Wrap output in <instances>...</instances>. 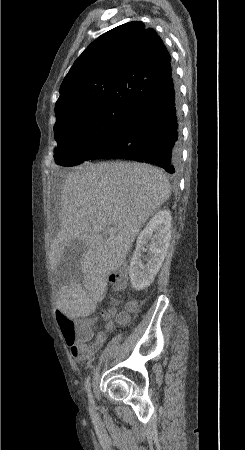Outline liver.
I'll return each instance as SVG.
<instances>
[{"label": "liver", "mask_w": 245, "mask_h": 450, "mask_svg": "<svg viewBox=\"0 0 245 450\" xmlns=\"http://www.w3.org/2000/svg\"><path fill=\"white\" fill-rule=\"evenodd\" d=\"M167 177L144 163L104 162L84 164L66 175L59 212L60 230L51 241L50 268L57 269L67 245L86 243L81 259L82 284L60 285L57 308L71 318L95 311L106 293V276L115 272L141 226L170 196ZM116 228L109 235L93 225Z\"/></svg>", "instance_id": "6515ba94"}]
</instances>
